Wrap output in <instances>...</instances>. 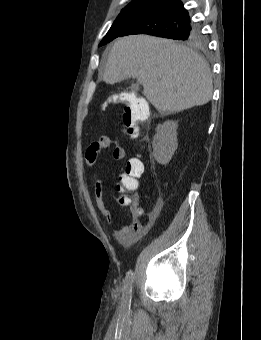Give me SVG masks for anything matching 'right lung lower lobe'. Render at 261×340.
<instances>
[{
  "label": "right lung lower lobe",
  "instance_id": "right-lung-lower-lobe-1",
  "mask_svg": "<svg viewBox=\"0 0 261 340\" xmlns=\"http://www.w3.org/2000/svg\"><path fill=\"white\" fill-rule=\"evenodd\" d=\"M193 24L181 0H162L119 36L144 33L172 38L174 34L189 30Z\"/></svg>",
  "mask_w": 261,
  "mask_h": 340
}]
</instances>
